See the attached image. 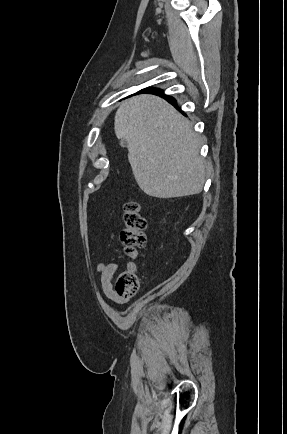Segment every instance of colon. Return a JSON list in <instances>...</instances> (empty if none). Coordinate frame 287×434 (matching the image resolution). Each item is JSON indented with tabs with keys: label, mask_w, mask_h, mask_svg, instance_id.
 Masks as SVG:
<instances>
[{
	"label": "colon",
	"mask_w": 287,
	"mask_h": 434,
	"mask_svg": "<svg viewBox=\"0 0 287 434\" xmlns=\"http://www.w3.org/2000/svg\"><path fill=\"white\" fill-rule=\"evenodd\" d=\"M124 229L121 233V243L126 254L137 257L139 249L146 244V220L142 214L140 205L135 200H128L124 204ZM140 281L134 270L122 272L114 287L117 296L129 299L133 298L139 290Z\"/></svg>",
	"instance_id": "5ec220e1"
}]
</instances>
